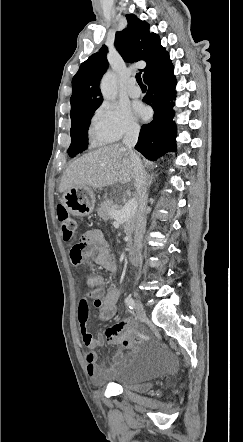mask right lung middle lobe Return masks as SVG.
<instances>
[{
  "instance_id": "dd1d6c3e",
  "label": "right lung middle lobe",
  "mask_w": 243,
  "mask_h": 442,
  "mask_svg": "<svg viewBox=\"0 0 243 442\" xmlns=\"http://www.w3.org/2000/svg\"><path fill=\"white\" fill-rule=\"evenodd\" d=\"M96 109L84 112L71 120V144L68 149V154L71 157L83 152L88 145L87 130L90 125L91 117Z\"/></svg>"
}]
</instances>
